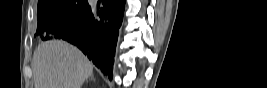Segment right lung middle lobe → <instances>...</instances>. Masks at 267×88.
Instances as JSON below:
<instances>
[{
  "label": "right lung middle lobe",
  "instance_id": "dd1d6c3e",
  "mask_svg": "<svg viewBox=\"0 0 267 88\" xmlns=\"http://www.w3.org/2000/svg\"><path fill=\"white\" fill-rule=\"evenodd\" d=\"M88 7L87 0H39L35 36L50 39L59 25L73 21Z\"/></svg>",
  "mask_w": 267,
  "mask_h": 88
}]
</instances>
